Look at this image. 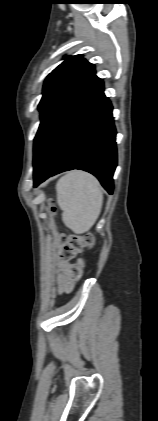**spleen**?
<instances>
[{
    "label": "spleen",
    "mask_w": 158,
    "mask_h": 421,
    "mask_svg": "<svg viewBox=\"0 0 158 421\" xmlns=\"http://www.w3.org/2000/svg\"><path fill=\"white\" fill-rule=\"evenodd\" d=\"M57 202L64 224L75 233L88 231L102 208L103 195L98 180L82 171H71L56 184Z\"/></svg>",
    "instance_id": "1"
}]
</instances>
